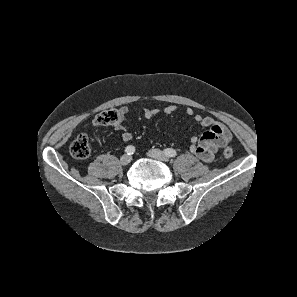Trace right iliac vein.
<instances>
[{"label": "right iliac vein", "mask_w": 297, "mask_h": 297, "mask_svg": "<svg viewBox=\"0 0 297 297\" xmlns=\"http://www.w3.org/2000/svg\"><path fill=\"white\" fill-rule=\"evenodd\" d=\"M131 160V156L125 154L120 158V163L121 165L125 166L128 165L131 162Z\"/></svg>", "instance_id": "obj_1"}]
</instances>
